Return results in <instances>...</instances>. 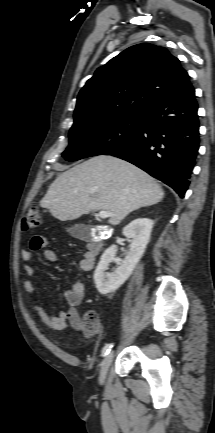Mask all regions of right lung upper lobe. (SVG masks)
Listing matches in <instances>:
<instances>
[{
    "label": "right lung upper lobe",
    "instance_id": "right-lung-upper-lobe-1",
    "mask_svg": "<svg viewBox=\"0 0 215 433\" xmlns=\"http://www.w3.org/2000/svg\"><path fill=\"white\" fill-rule=\"evenodd\" d=\"M189 83L188 73L166 48L134 45L99 67L86 82L77 98L74 124L143 115Z\"/></svg>",
    "mask_w": 215,
    "mask_h": 433
}]
</instances>
